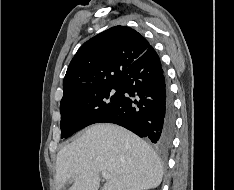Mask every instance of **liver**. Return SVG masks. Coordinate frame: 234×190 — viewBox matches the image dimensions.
<instances>
[{
  "label": "liver",
  "instance_id": "1",
  "mask_svg": "<svg viewBox=\"0 0 234 190\" xmlns=\"http://www.w3.org/2000/svg\"><path fill=\"white\" fill-rule=\"evenodd\" d=\"M111 176L102 190H148L160 185L163 167L154 150L113 124L88 127L57 155V190H98L100 173Z\"/></svg>",
  "mask_w": 234,
  "mask_h": 190
}]
</instances>
